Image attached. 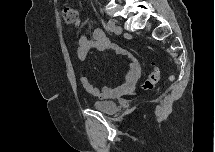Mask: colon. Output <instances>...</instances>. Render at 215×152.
Wrapping results in <instances>:
<instances>
[{"label": "colon", "mask_w": 215, "mask_h": 152, "mask_svg": "<svg viewBox=\"0 0 215 152\" xmlns=\"http://www.w3.org/2000/svg\"><path fill=\"white\" fill-rule=\"evenodd\" d=\"M62 15H63L64 23L67 26L73 27L77 24L78 13L73 7L66 5L63 8ZM159 79H160V70L157 66H153L148 77L145 79V81L142 84V89L146 91L153 89L158 83ZM172 79H173V76H170V80Z\"/></svg>", "instance_id": "1"}]
</instances>
